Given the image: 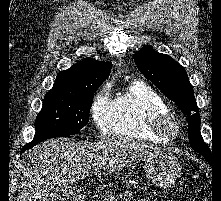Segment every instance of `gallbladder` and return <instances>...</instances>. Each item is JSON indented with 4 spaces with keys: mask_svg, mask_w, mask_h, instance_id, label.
<instances>
[{
    "mask_svg": "<svg viewBox=\"0 0 221 201\" xmlns=\"http://www.w3.org/2000/svg\"><path fill=\"white\" fill-rule=\"evenodd\" d=\"M75 196V191L72 188H69L64 193V198L66 199H72Z\"/></svg>",
    "mask_w": 221,
    "mask_h": 201,
    "instance_id": "obj_1",
    "label": "gallbladder"
}]
</instances>
